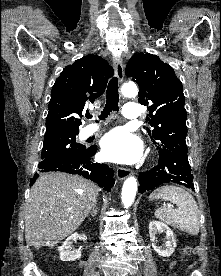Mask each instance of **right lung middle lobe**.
Wrapping results in <instances>:
<instances>
[{"instance_id": "right-lung-middle-lobe-1", "label": "right lung middle lobe", "mask_w": 221, "mask_h": 276, "mask_svg": "<svg viewBox=\"0 0 221 276\" xmlns=\"http://www.w3.org/2000/svg\"><path fill=\"white\" fill-rule=\"evenodd\" d=\"M76 135H78V132L45 134L41 159L44 160L86 151L84 145L76 143Z\"/></svg>"}]
</instances>
